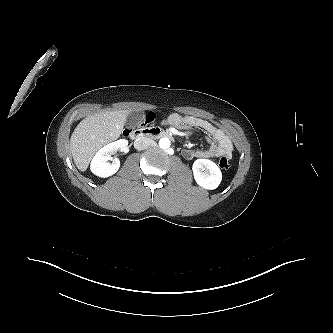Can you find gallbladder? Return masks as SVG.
Segmentation results:
<instances>
[{
  "instance_id": "1",
  "label": "gallbladder",
  "mask_w": 333,
  "mask_h": 333,
  "mask_svg": "<svg viewBox=\"0 0 333 333\" xmlns=\"http://www.w3.org/2000/svg\"><path fill=\"white\" fill-rule=\"evenodd\" d=\"M144 118V113L132 112L128 115L125 126L135 128Z\"/></svg>"
}]
</instances>
